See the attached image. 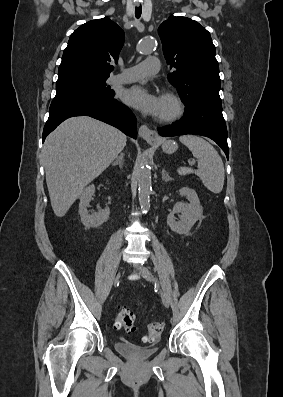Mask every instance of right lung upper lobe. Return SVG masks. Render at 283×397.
<instances>
[{"instance_id": "right-lung-upper-lobe-1", "label": "right lung upper lobe", "mask_w": 283, "mask_h": 397, "mask_svg": "<svg viewBox=\"0 0 283 397\" xmlns=\"http://www.w3.org/2000/svg\"><path fill=\"white\" fill-rule=\"evenodd\" d=\"M124 43L123 30L109 18L89 21L70 36L58 70V80L73 76L109 77Z\"/></svg>"}]
</instances>
